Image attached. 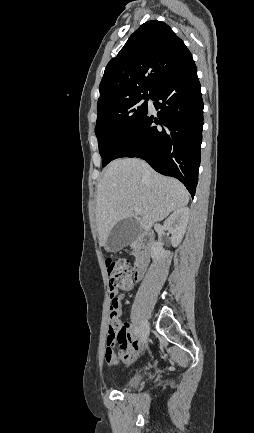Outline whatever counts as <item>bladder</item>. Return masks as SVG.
I'll use <instances>...</instances> for the list:
<instances>
[{"label": "bladder", "instance_id": "1", "mask_svg": "<svg viewBox=\"0 0 254 433\" xmlns=\"http://www.w3.org/2000/svg\"><path fill=\"white\" fill-rule=\"evenodd\" d=\"M140 382V376L136 375L128 379L122 384L123 388H135Z\"/></svg>", "mask_w": 254, "mask_h": 433}]
</instances>
